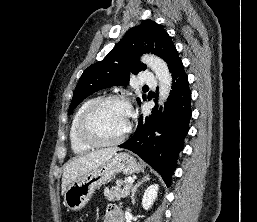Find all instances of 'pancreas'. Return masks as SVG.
<instances>
[{"mask_svg": "<svg viewBox=\"0 0 257 222\" xmlns=\"http://www.w3.org/2000/svg\"><path fill=\"white\" fill-rule=\"evenodd\" d=\"M131 187L132 184L129 183L127 179H125L124 181L119 180L117 182V186L112 187L111 189L106 188L104 190V196L109 201L120 200V198L126 197L129 194Z\"/></svg>", "mask_w": 257, "mask_h": 222, "instance_id": "1", "label": "pancreas"}]
</instances>
